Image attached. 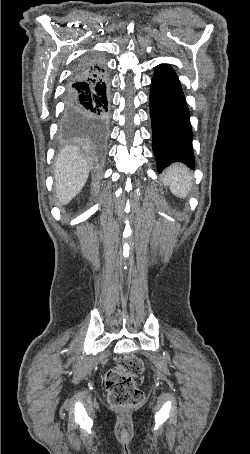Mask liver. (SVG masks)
Instances as JSON below:
<instances>
[{
    "mask_svg": "<svg viewBox=\"0 0 250 454\" xmlns=\"http://www.w3.org/2000/svg\"><path fill=\"white\" fill-rule=\"evenodd\" d=\"M88 175V164L77 149H62L54 168L56 196L62 205L68 204L82 190Z\"/></svg>",
    "mask_w": 250,
    "mask_h": 454,
    "instance_id": "liver-1",
    "label": "liver"
}]
</instances>
